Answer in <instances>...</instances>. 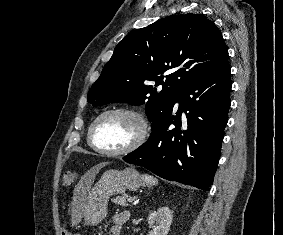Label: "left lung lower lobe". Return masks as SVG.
Returning <instances> with one entry per match:
<instances>
[{
	"instance_id": "obj_1",
	"label": "left lung lower lobe",
	"mask_w": 283,
	"mask_h": 235,
	"mask_svg": "<svg viewBox=\"0 0 283 235\" xmlns=\"http://www.w3.org/2000/svg\"><path fill=\"white\" fill-rule=\"evenodd\" d=\"M230 76L226 61L186 83L175 100L179 102L176 115L171 112L152 130L148 141L123 160L164 179L209 190L228 121ZM183 111L187 120L182 123Z\"/></svg>"
}]
</instances>
